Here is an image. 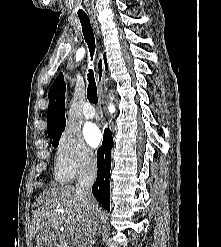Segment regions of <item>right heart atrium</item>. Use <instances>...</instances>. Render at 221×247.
<instances>
[{"label":"right heart atrium","mask_w":221,"mask_h":247,"mask_svg":"<svg viewBox=\"0 0 221 247\" xmlns=\"http://www.w3.org/2000/svg\"><path fill=\"white\" fill-rule=\"evenodd\" d=\"M93 163V151L83 142L75 129L67 127L60 136L55 150V178L60 182L70 181L89 170Z\"/></svg>","instance_id":"1"}]
</instances>
